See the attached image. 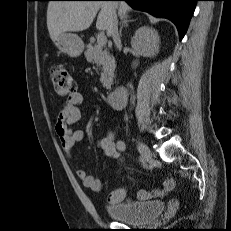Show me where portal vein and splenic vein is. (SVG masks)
Masks as SVG:
<instances>
[{
  "instance_id": "1",
  "label": "portal vein and splenic vein",
  "mask_w": 231,
  "mask_h": 231,
  "mask_svg": "<svg viewBox=\"0 0 231 231\" xmlns=\"http://www.w3.org/2000/svg\"><path fill=\"white\" fill-rule=\"evenodd\" d=\"M107 43V38L103 32H99L97 35V44L99 46H104Z\"/></svg>"
}]
</instances>
